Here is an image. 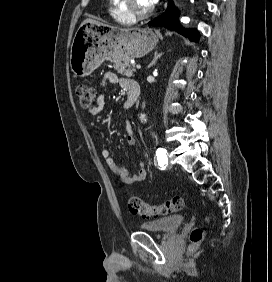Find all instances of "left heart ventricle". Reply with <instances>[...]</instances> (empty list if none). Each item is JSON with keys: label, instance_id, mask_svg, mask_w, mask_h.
Masks as SVG:
<instances>
[{"label": "left heart ventricle", "instance_id": "left-heart-ventricle-1", "mask_svg": "<svg viewBox=\"0 0 272 282\" xmlns=\"http://www.w3.org/2000/svg\"><path fill=\"white\" fill-rule=\"evenodd\" d=\"M134 4L139 11H145L151 8L149 0H134Z\"/></svg>", "mask_w": 272, "mask_h": 282}]
</instances>
